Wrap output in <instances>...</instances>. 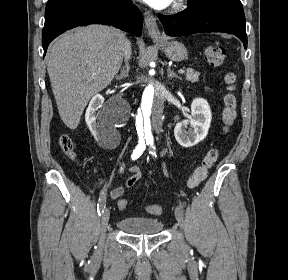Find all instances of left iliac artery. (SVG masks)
<instances>
[{
	"label": "left iliac artery",
	"mask_w": 288,
	"mask_h": 280,
	"mask_svg": "<svg viewBox=\"0 0 288 280\" xmlns=\"http://www.w3.org/2000/svg\"><path fill=\"white\" fill-rule=\"evenodd\" d=\"M149 145H150V147L153 149V150H151L150 151V154L153 156V157H155L156 158V153H155V146H154V144H153V141H150L149 143H148ZM176 200L179 202V208L181 209L180 211L183 213L185 210L183 209L184 208V201H183V199L180 197V196H177L176 197Z\"/></svg>",
	"instance_id": "left-iliac-artery-1"
}]
</instances>
